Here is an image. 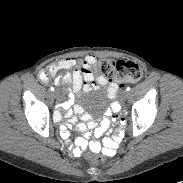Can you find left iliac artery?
I'll return each mask as SVG.
<instances>
[{
  "instance_id": "1",
  "label": "left iliac artery",
  "mask_w": 183,
  "mask_h": 183,
  "mask_svg": "<svg viewBox=\"0 0 183 183\" xmlns=\"http://www.w3.org/2000/svg\"><path fill=\"white\" fill-rule=\"evenodd\" d=\"M130 90H131V88H130V87H127V88H126V91H130Z\"/></svg>"
}]
</instances>
